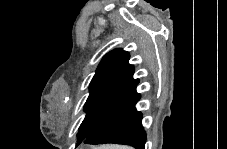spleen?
Segmentation results:
<instances>
[{"label":"spleen","mask_w":227,"mask_h":149,"mask_svg":"<svg viewBox=\"0 0 227 149\" xmlns=\"http://www.w3.org/2000/svg\"><path fill=\"white\" fill-rule=\"evenodd\" d=\"M107 149H129V148H127V147L112 146V147H107Z\"/></svg>","instance_id":"spleen-1"}]
</instances>
